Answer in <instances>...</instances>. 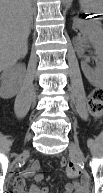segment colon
Segmentation results:
<instances>
[{
	"label": "colon",
	"mask_w": 103,
	"mask_h": 193,
	"mask_svg": "<svg viewBox=\"0 0 103 193\" xmlns=\"http://www.w3.org/2000/svg\"><path fill=\"white\" fill-rule=\"evenodd\" d=\"M88 109L94 118H100L103 113V89L95 88L88 96ZM67 174L70 177H76L80 174V167L74 162H63Z\"/></svg>",
	"instance_id": "1"
}]
</instances>
